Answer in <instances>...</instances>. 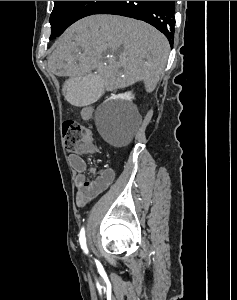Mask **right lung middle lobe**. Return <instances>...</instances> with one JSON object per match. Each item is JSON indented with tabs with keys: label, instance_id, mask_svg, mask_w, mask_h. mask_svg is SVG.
<instances>
[{
	"label": "right lung middle lobe",
	"instance_id": "right-lung-middle-lobe-1",
	"mask_svg": "<svg viewBox=\"0 0 237 300\" xmlns=\"http://www.w3.org/2000/svg\"><path fill=\"white\" fill-rule=\"evenodd\" d=\"M105 2L106 1H54V8L50 16V39L60 36L77 20L94 14Z\"/></svg>",
	"mask_w": 237,
	"mask_h": 300
}]
</instances>
